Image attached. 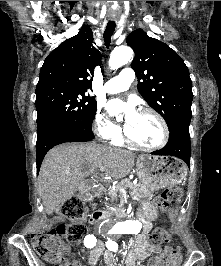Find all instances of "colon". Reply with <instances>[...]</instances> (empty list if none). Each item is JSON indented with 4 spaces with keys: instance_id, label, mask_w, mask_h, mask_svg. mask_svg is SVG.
<instances>
[{
    "instance_id": "obj_1",
    "label": "colon",
    "mask_w": 221,
    "mask_h": 266,
    "mask_svg": "<svg viewBox=\"0 0 221 266\" xmlns=\"http://www.w3.org/2000/svg\"><path fill=\"white\" fill-rule=\"evenodd\" d=\"M182 189L171 186L164 190L155 200L156 206L161 212H166L170 205L179 201ZM58 216L66 218L69 223L61 224L57 229L46 233H34L31 235V243L36 253L51 263H58L61 259L62 239L64 237L70 243L78 242L87 232L84 224L85 207L76 197L62 203L55 212ZM152 243L158 246L170 240L169 234L163 229H155L151 234ZM182 256L178 249L169 251V266H178Z\"/></svg>"
}]
</instances>
